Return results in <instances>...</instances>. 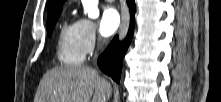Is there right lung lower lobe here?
Returning <instances> with one entry per match:
<instances>
[{"mask_svg": "<svg viewBox=\"0 0 221 102\" xmlns=\"http://www.w3.org/2000/svg\"><path fill=\"white\" fill-rule=\"evenodd\" d=\"M127 2L130 8L131 24L126 39L119 42L118 36H116L98 59L101 70L117 83L120 81L123 57L131 43L134 29L135 3L134 0H127Z\"/></svg>", "mask_w": 221, "mask_h": 102, "instance_id": "98d812e1", "label": "right lung lower lobe"}]
</instances>
